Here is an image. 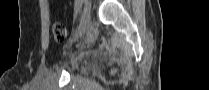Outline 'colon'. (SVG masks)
<instances>
[{"instance_id":"5ec220e1","label":"colon","mask_w":209,"mask_h":90,"mask_svg":"<svg viewBox=\"0 0 209 90\" xmlns=\"http://www.w3.org/2000/svg\"><path fill=\"white\" fill-rule=\"evenodd\" d=\"M52 29L57 42H64L67 39L68 30L61 22H55Z\"/></svg>"}]
</instances>
